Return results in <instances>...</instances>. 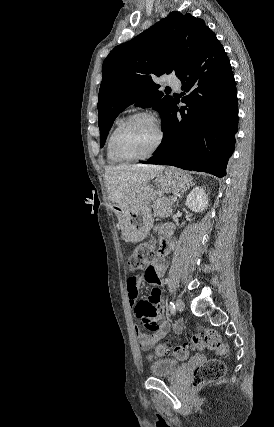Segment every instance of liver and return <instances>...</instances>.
<instances>
[{
	"label": "liver",
	"mask_w": 274,
	"mask_h": 427,
	"mask_svg": "<svg viewBox=\"0 0 274 427\" xmlns=\"http://www.w3.org/2000/svg\"><path fill=\"white\" fill-rule=\"evenodd\" d=\"M164 166H108L105 170L108 198L113 204L131 202L141 182L154 180Z\"/></svg>",
	"instance_id": "obj_1"
}]
</instances>
